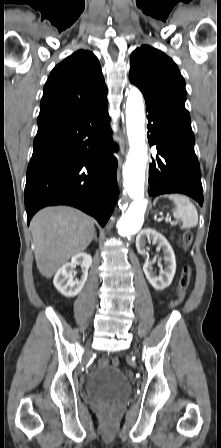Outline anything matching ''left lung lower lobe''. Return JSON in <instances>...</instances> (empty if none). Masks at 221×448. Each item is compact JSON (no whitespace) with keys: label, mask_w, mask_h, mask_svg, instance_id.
Returning <instances> with one entry per match:
<instances>
[{"label":"left lung lower lobe","mask_w":221,"mask_h":448,"mask_svg":"<svg viewBox=\"0 0 221 448\" xmlns=\"http://www.w3.org/2000/svg\"><path fill=\"white\" fill-rule=\"evenodd\" d=\"M146 111L147 137L150 145L157 146L158 152L149 166V195L183 193L202 206L201 172L194 152L193 132L159 113Z\"/></svg>","instance_id":"obj_1"}]
</instances>
